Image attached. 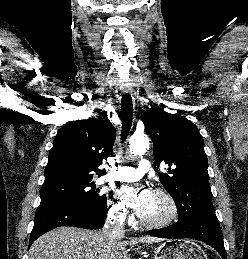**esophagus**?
Here are the masks:
<instances>
[{
    "mask_svg": "<svg viewBox=\"0 0 248 259\" xmlns=\"http://www.w3.org/2000/svg\"><path fill=\"white\" fill-rule=\"evenodd\" d=\"M124 93H125V94H130L131 91L126 90V91H124Z\"/></svg>",
    "mask_w": 248,
    "mask_h": 259,
    "instance_id": "esophagus-1",
    "label": "esophagus"
}]
</instances>
